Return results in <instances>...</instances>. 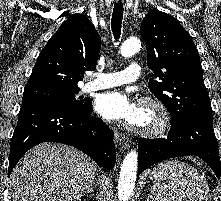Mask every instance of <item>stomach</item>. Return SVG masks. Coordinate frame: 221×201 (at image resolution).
I'll list each match as a JSON object with an SVG mask.
<instances>
[{"label":"stomach","mask_w":221,"mask_h":201,"mask_svg":"<svg viewBox=\"0 0 221 201\" xmlns=\"http://www.w3.org/2000/svg\"><path fill=\"white\" fill-rule=\"evenodd\" d=\"M152 178H154V174H153V172H152Z\"/></svg>","instance_id":"stomach-1"}]
</instances>
